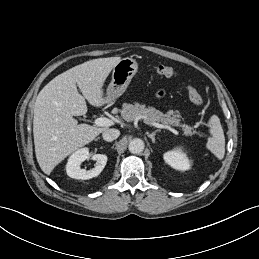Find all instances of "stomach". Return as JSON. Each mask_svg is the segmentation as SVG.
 <instances>
[{
    "label": "stomach",
    "instance_id": "1",
    "mask_svg": "<svg viewBox=\"0 0 259 259\" xmlns=\"http://www.w3.org/2000/svg\"><path fill=\"white\" fill-rule=\"evenodd\" d=\"M138 64L133 58L121 59L113 68L112 80L106 90V101L112 103L127 89L133 76L137 73Z\"/></svg>",
    "mask_w": 259,
    "mask_h": 259
}]
</instances>
